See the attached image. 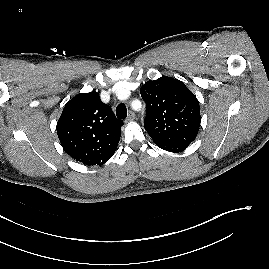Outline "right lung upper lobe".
Wrapping results in <instances>:
<instances>
[{"mask_svg":"<svg viewBox=\"0 0 269 269\" xmlns=\"http://www.w3.org/2000/svg\"><path fill=\"white\" fill-rule=\"evenodd\" d=\"M123 122L97 92L79 94L64 107L56 130L63 149L85 165H103L114 153Z\"/></svg>","mask_w":269,"mask_h":269,"instance_id":"right-lung-upper-lobe-1","label":"right lung upper lobe"}]
</instances>
